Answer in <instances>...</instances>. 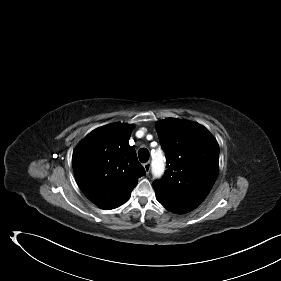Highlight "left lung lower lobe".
<instances>
[{"instance_id": "left-lung-lower-lobe-1", "label": "left lung lower lobe", "mask_w": 281, "mask_h": 281, "mask_svg": "<svg viewBox=\"0 0 281 281\" xmlns=\"http://www.w3.org/2000/svg\"><path fill=\"white\" fill-rule=\"evenodd\" d=\"M157 200L166 209L170 210L171 212L177 213V214L187 213L197 207V205H192V204H189L182 200H171V201H167V202L161 201L159 198H157Z\"/></svg>"}]
</instances>
